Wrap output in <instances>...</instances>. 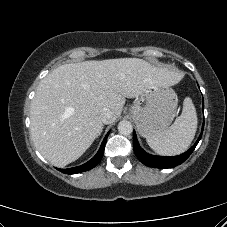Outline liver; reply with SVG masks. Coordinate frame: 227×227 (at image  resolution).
<instances>
[{"label": "liver", "mask_w": 227, "mask_h": 227, "mask_svg": "<svg viewBox=\"0 0 227 227\" xmlns=\"http://www.w3.org/2000/svg\"><path fill=\"white\" fill-rule=\"evenodd\" d=\"M181 75L138 58L91 60L59 66L39 84L31 103L35 147L56 167L77 160L103 129L101 112L122 113L125 98L154 85L172 86ZM108 123V124H109Z\"/></svg>", "instance_id": "obj_1"}]
</instances>
